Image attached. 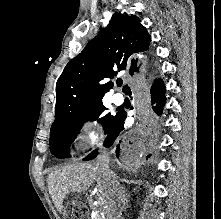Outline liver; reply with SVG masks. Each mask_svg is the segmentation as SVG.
I'll return each instance as SVG.
<instances>
[{"mask_svg": "<svg viewBox=\"0 0 221 219\" xmlns=\"http://www.w3.org/2000/svg\"><path fill=\"white\" fill-rule=\"evenodd\" d=\"M94 181L97 183L98 201L107 211L115 197V185L124 190L115 174L113 177L102 175L96 162H74L53 170L47 178V185L56 209L62 212L63 200L66 195L85 192Z\"/></svg>", "mask_w": 221, "mask_h": 219, "instance_id": "6515ba94", "label": "liver"}]
</instances>
